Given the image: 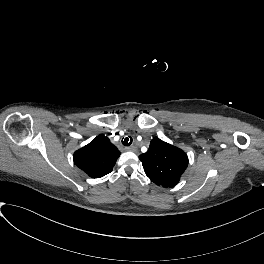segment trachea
<instances>
[{
	"label": "trachea",
	"instance_id": "trachea-1",
	"mask_svg": "<svg viewBox=\"0 0 264 264\" xmlns=\"http://www.w3.org/2000/svg\"><path fill=\"white\" fill-rule=\"evenodd\" d=\"M133 142V139L129 136V137H126L124 140H122V144L124 146H130Z\"/></svg>",
	"mask_w": 264,
	"mask_h": 264
}]
</instances>
